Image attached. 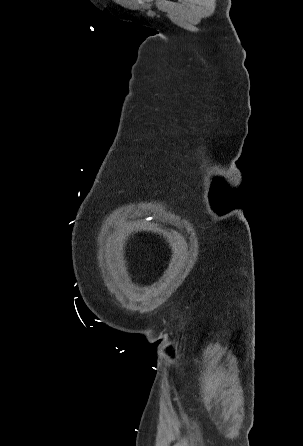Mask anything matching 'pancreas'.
<instances>
[{
	"mask_svg": "<svg viewBox=\"0 0 303 446\" xmlns=\"http://www.w3.org/2000/svg\"><path fill=\"white\" fill-rule=\"evenodd\" d=\"M134 7H138V4L135 3V4H134Z\"/></svg>",
	"mask_w": 303,
	"mask_h": 446,
	"instance_id": "1",
	"label": "pancreas"
}]
</instances>
